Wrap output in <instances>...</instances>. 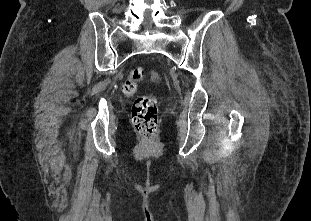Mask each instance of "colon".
I'll list each match as a JSON object with an SVG mask.
<instances>
[{"instance_id": "colon-1", "label": "colon", "mask_w": 311, "mask_h": 221, "mask_svg": "<svg viewBox=\"0 0 311 221\" xmlns=\"http://www.w3.org/2000/svg\"><path fill=\"white\" fill-rule=\"evenodd\" d=\"M155 75L157 76V74ZM142 77L143 68H134L130 75L124 79L122 92L128 97L134 95L138 90L139 81ZM157 112L158 103L155 97L143 95L135 99L131 119L135 130L143 136L144 141H155L158 121Z\"/></svg>"}]
</instances>
